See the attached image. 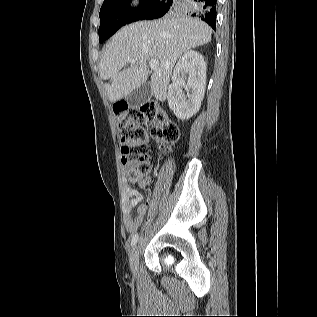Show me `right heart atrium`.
Listing matches in <instances>:
<instances>
[{"instance_id":"obj_1","label":"right heart atrium","mask_w":317,"mask_h":317,"mask_svg":"<svg viewBox=\"0 0 317 317\" xmlns=\"http://www.w3.org/2000/svg\"><path fill=\"white\" fill-rule=\"evenodd\" d=\"M139 5V0H128L127 1V6L129 8H136Z\"/></svg>"}]
</instances>
